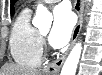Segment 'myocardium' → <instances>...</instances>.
I'll return each instance as SVG.
<instances>
[{
	"label": "myocardium",
	"mask_w": 102,
	"mask_h": 75,
	"mask_svg": "<svg viewBox=\"0 0 102 75\" xmlns=\"http://www.w3.org/2000/svg\"><path fill=\"white\" fill-rule=\"evenodd\" d=\"M44 39H45V38H44V35L42 34V43H44Z\"/></svg>",
	"instance_id": "myocardium-1"
}]
</instances>
